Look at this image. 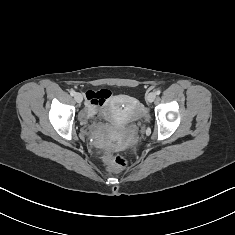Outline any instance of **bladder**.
Listing matches in <instances>:
<instances>
[{"label": "bladder", "mask_w": 235, "mask_h": 235, "mask_svg": "<svg viewBox=\"0 0 235 235\" xmlns=\"http://www.w3.org/2000/svg\"><path fill=\"white\" fill-rule=\"evenodd\" d=\"M124 99H127V100H130V101H131V99H129V98H125V97H124ZM108 119L111 120V121L114 120V118H113L112 116H108Z\"/></svg>", "instance_id": "obj_1"}]
</instances>
